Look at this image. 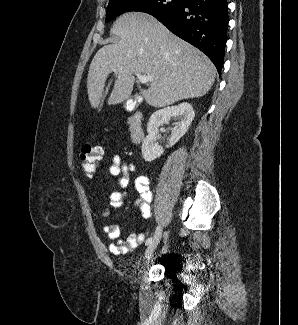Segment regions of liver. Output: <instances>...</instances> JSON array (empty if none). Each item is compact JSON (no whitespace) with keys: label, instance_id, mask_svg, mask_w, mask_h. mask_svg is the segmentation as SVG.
I'll list each match as a JSON object with an SVG mask.
<instances>
[{"label":"liver","instance_id":"obj_1","mask_svg":"<svg viewBox=\"0 0 298 325\" xmlns=\"http://www.w3.org/2000/svg\"><path fill=\"white\" fill-rule=\"evenodd\" d=\"M110 32L119 36V42L99 48L87 74L88 100L93 108H99L111 72L116 78L108 104L129 98L134 72L153 76L143 96L156 108L203 96L213 86L216 68L210 58L172 34L151 14L125 12L115 20Z\"/></svg>","mask_w":298,"mask_h":325}]
</instances>
